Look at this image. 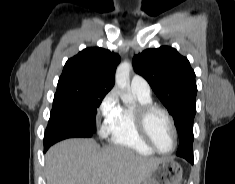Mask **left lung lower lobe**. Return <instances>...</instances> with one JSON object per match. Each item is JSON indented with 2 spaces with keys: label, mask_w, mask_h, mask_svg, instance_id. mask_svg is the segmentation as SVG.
<instances>
[{
  "label": "left lung lower lobe",
  "mask_w": 235,
  "mask_h": 184,
  "mask_svg": "<svg viewBox=\"0 0 235 184\" xmlns=\"http://www.w3.org/2000/svg\"><path fill=\"white\" fill-rule=\"evenodd\" d=\"M185 159L193 165V163H194L193 157H187Z\"/></svg>",
  "instance_id": "0a47b994"
}]
</instances>
